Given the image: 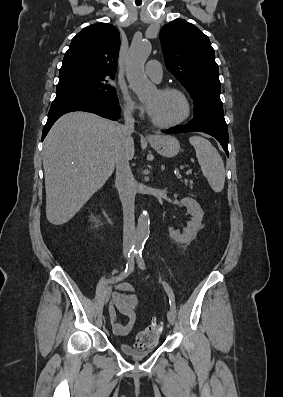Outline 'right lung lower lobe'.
<instances>
[{"label": "right lung lower lobe", "instance_id": "1", "mask_svg": "<svg viewBox=\"0 0 283 397\" xmlns=\"http://www.w3.org/2000/svg\"><path fill=\"white\" fill-rule=\"evenodd\" d=\"M72 111L91 112L104 118L117 120L119 118L120 106L119 104H104L85 98H66L54 100L48 113L47 123L43 129L42 140L45 138L51 126L59 117Z\"/></svg>", "mask_w": 283, "mask_h": 397}]
</instances>
